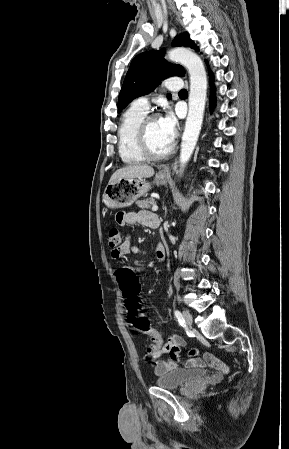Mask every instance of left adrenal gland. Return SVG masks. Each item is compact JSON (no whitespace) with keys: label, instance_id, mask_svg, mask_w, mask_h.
<instances>
[{"label":"left adrenal gland","instance_id":"left-adrenal-gland-1","mask_svg":"<svg viewBox=\"0 0 289 449\" xmlns=\"http://www.w3.org/2000/svg\"><path fill=\"white\" fill-rule=\"evenodd\" d=\"M163 210L165 211V216H166V214H167V208H166V206L163 207Z\"/></svg>","mask_w":289,"mask_h":449}]
</instances>
